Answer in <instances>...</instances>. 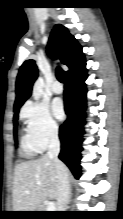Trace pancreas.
<instances>
[{"label":"pancreas","instance_id":"pancreas-1","mask_svg":"<svg viewBox=\"0 0 123 219\" xmlns=\"http://www.w3.org/2000/svg\"><path fill=\"white\" fill-rule=\"evenodd\" d=\"M38 208V211H46V207L44 205H40Z\"/></svg>","mask_w":123,"mask_h":219}]
</instances>
